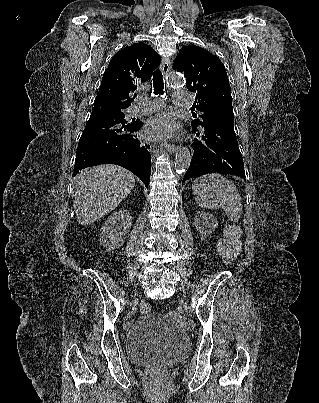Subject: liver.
<instances>
[{
    "label": "liver",
    "mask_w": 319,
    "mask_h": 403,
    "mask_svg": "<svg viewBox=\"0 0 319 403\" xmlns=\"http://www.w3.org/2000/svg\"><path fill=\"white\" fill-rule=\"evenodd\" d=\"M134 175L115 165L80 171L75 178L73 208L80 225H88L112 212L134 188Z\"/></svg>",
    "instance_id": "6515ba94"
}]
</instances>
